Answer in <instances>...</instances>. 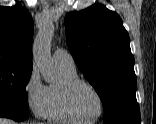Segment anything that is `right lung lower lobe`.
<instances>
[{
    "mask_svg": "<svg viewBox=\"0 0 156 124\" xmlns=\"http://www.w3.org/2000/svg\"><path fill=\"white\" fill-rule=\"evenodd\" d=\"M28 116V106L0 102V117L13 119L15 121H24Z\"/></svg>",
    "mask_w": 156,
    "mask_h": 124,
    "instance_id": "right-lung-lower-lobe-1",
    "label": "right lung lower lobe"
}]
</instances>
